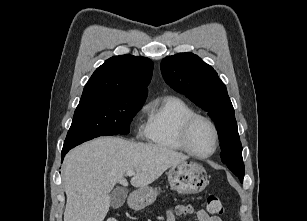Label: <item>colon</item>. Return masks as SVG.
<instances>
[{"label": "colon", "instance_id": "5ec220e1", "mask_svg": "<svg viewBox=\"0 0 307 221\" xmlns=\"http://www.w3.org/2000/svg\"><path fill=\"white\" fill-rule=\"evenodd\" d=\"M207 210L209 213L213 215L223 214L224 206L221 200L216 195H209L207 197ZM106 221H118V220L114 217H111L108 218Z\"/></svg>", "mask_w": 307, "mask_h": 221}]
</instances>
